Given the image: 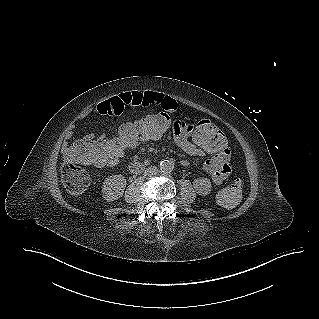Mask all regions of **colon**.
Instances as JSON below:
<instances>
[{"label":"colon","mask_w":319,"mask_h":319,"mask_svg":"<svg viewBox=\"0 0 319 319\" xmlns=\"http://www.w3.org/2000/svg\"><path fill=\"white\" fill-rule=\"evenodd\" d=\"M183 121V120H176ZM189 132L190 140L200 149L211 153H220L228 145V136L224 130L209 119L196 120ZM169 124L162 115L150 113L138 118L119 129L114 137L98 139L88 133L83 140L74 143L64 151L66 164L62 168V184L72 195L85 192L90 184V176L81 166L93 163L97 167H113L125 156L143 145L161 139ZM184 135V136H188ZM242 197V182L235 180L220 190L218 203L225 208L235 207Z\"/></svg>","instance_id":"1"}]
</instances>
